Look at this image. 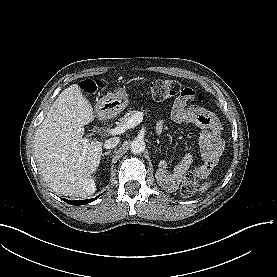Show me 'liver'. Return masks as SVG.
<instances>
[{
	"label": "liver",
	"mask_w": 277,
	"mask_h": 277,
	"mask_svg": "<svg viewBox=\"0 0 277 277\" xmlns=\"http://www.w3.org/2000/svg\"><path fill=\"white\" fill-rule=\"evenodd\" d=\"M95 119L92 105L72 84L61 92L34 137V157L44 180L58 195L88 196L87 183L99 167L102 142H81Z\"/></svg>",
	"instance_id": "1"
}]
</instances>
